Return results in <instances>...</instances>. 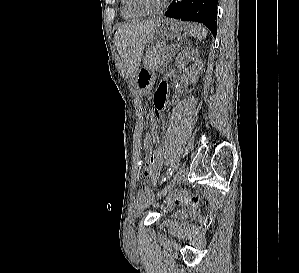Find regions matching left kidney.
<instances>
[{"mask_svg":"<svg viewBox=\"0 0 299 273\" xmlns=\"http://www.w3.org/2000/svg\"><path fill=\"white\" fill-rule=\"evenodd\" d=\"M184 60H186L187 62H193L189 70H186V64L184 63ZM175 65L182 71H186L191 83L196 84L199 74L203 68V63L198 51L191 48L182 50L175 59Z\"/></svg>","mask_w":299,"mask_h":273,"instance_id":"obj_1","label":"left kidney"}]
</instances>
